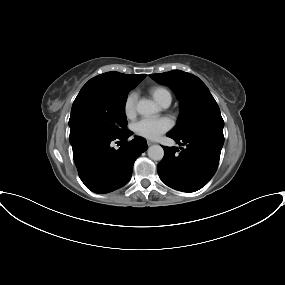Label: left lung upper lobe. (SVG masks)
<instances>
[{"instance_id": "5c2ea615", "label": "left lung upper lobe", "mask_w": 285, "mask_h": 285, "mask_svg": "<svg viewBox=\"0 0 285 285\" xmlns=\"http://www.w3.org/2000/svg\"><path fill=\"white\" fill-rule=\"evenodd\" d=\"M150 77L168 85L180 99L181 113L177 125L169 132L171 135L181 138L204 131L223 134L220 109L198 77L181 70L151 74Z\"/></svg>"}]
</instances>
